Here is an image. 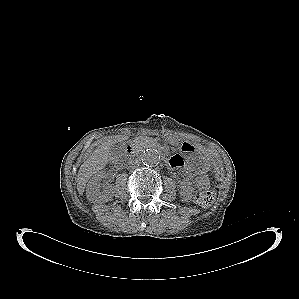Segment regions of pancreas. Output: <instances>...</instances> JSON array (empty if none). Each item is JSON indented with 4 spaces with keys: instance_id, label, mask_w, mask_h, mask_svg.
<instances>
[{
    "instance_id": "obj_1",
    "label": "pancreas",
    "mask_w": 299,
    "mask_h": 299,
    "mask_svg": "<svg viewBox=\"0 0 299 299\" xmlns=\"http://www.w3.org/2000/svg\"><path fill=\"white\" fill-rule=\"evenodd\" d=\"M140 142H141L140 140H136V145L141 146Z\"/></svg>"
}]
</instances>
